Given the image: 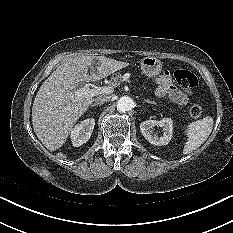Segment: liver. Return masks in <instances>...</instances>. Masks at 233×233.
Masks as SVG:
<instances>
[{
	"instance_id": "6515ba94",
	"label": "liver",
	"mask_w": 233,
	"mask_h": 233,
	"mask_svg": "<svg viewBox=\"0 0 233 233\" xmlns=\"http://www.w3.org/2000/svg\"><path fill=\"white\" fill-rule=\"evenodd\" d=\"M128 65L105 56L82 55L53 71L41 85L32 107L34 132L42 144L51 152L62 147L94 101L93 97L76 94L82 83L99 81Z\"/></svg>"
}]
</instances>
